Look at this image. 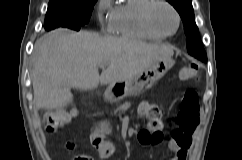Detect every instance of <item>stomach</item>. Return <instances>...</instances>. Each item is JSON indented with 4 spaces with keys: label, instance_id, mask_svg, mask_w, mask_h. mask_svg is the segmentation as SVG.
<instances>
[{
    "label": "stomach",
    "instance_id": "obj_1",
    "mask_svg": "<svg viewBox=\"0 0 242 160\" xmlns=\"http://www.w3.org/2000/svg\"><path fill=\"white\" fill-rule=\"evenodd\" d=\"M174 63L171 58L156 61L134 78L112 84V88L117 89L124 96L139 94L152 88L173 67Z\"/></svg>",
    "mask_w": 242,
    "mask_h": 160
}]
</instances>
